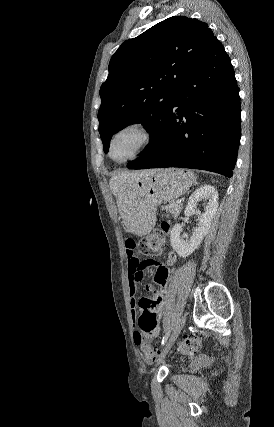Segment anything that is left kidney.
<instances>
[{"instance_id": "5707ae66", "label": "left kidney", "mask_w": 274, "mask_h": 427, "mask_svg": "<svg viewBox=\"0 0 274 427\" xmlns=\"http://www.w3.org/2000/svg\"><path fill=\"white\" fill-rule=\"evenodd\" d=\"M202 200L203 202H206L204 206V214H200V212H198V227H194L193 233L190 237H187V239H183V237H181V223H175L171 229L170 241L173 249L177 251L180 257H187V255H190L194 249L199 247L204 235L208 233L211 221L217 212L218 192H216L212 186H201V188L195 190L192 196H190L188 206H186L184 214H194V208H197L198 202H202Z\"/></svg>"}]
</instances>
